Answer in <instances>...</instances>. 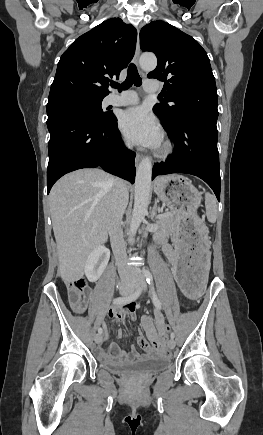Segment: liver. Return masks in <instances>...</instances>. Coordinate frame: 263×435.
I'll return each instance as SVG.
<instances>
[{
  "instance_id": "1",
  "label": "liver",
  "mask_w": 263,
  "mask_h": 435,
  "mask_svg": "<svg viewBox=\"0 0 263 435\" xmlns=\"http://www.w3.org/2000/svg\"><path fill=\"white\" fill-rule=\"evenodd\" d=\"M112 190L113 178L100 169L72 172L52 187L50 212L64 282L82 278L90 252L107 241Z\"/></svg>"
}]
</instances>
